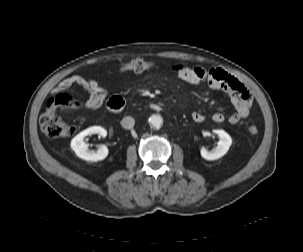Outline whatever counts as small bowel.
<instances>
[{"mask_svg":"<svg viewBox=\"0 0 303 252\" xmlns=\"http://www.w3.org/2000/svg\"><path fill=\"white\" fill-rule=\"evenodd\" d=\"M171 70L186 83L204 85L211 90L223 92L228 95L235 108V112L228 117L231 124L238 123L249 114L252 95L250 91L233 76L185 63H176L171 66ZM73 85H79L89 93V97L84 103L85 109L96 110L105 105L108 91L95 79L72 75L62 80L58 85V89L67 91ZM118 98L119 97H113L110 99V101H108L109 105H113ZM191 117L196 123H201L205 120L204 115L198 111L193 112ZM225 119V115L221 112H215L212 115V120L215 123H222Z\"/></svg>","mask_w":303,"mask_h":252,"instance_id":"obj_1","label":"small bowel"}]
</instances>
